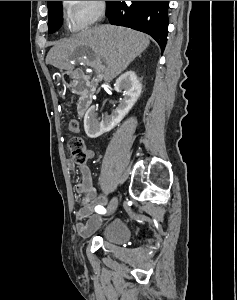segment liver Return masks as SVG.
Instances as JSON below:
<instances>
[{
    "label": "liver",
    "instance_id": "6515ba94",
    "mask_svg": "<svg viewBox=\"0 0 237 300\" xmlns=\"http://www.w3.org/2000/svg\"><path fill=\"white\" fill-rule=\"evenodd\" d=\"M149 37L124 27L99 25L54 43L46 57V65H53L62 71H73L70 61H77L83 55H95L97 61L104 59L107 67L93 65L104 73L105 81H112L127 69L135 57L141 55L149 45Z\"/></svg>",
    "mask_w": 237,
    "mask_h": 300
}]
</instances>
